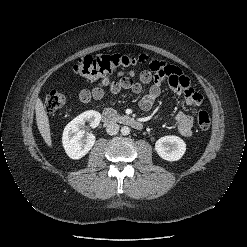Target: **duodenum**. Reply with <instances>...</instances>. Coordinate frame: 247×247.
<instances>
[{
	"label": "duodenum",
	"instance_id": "duodenum-1",
	"mask_svg": "<svg viewBox=\"0 0 247 247\" xmlns=\"http://www.w3.org/2000/svg\"><path fill=\"white\" fill-rule=\"evenodd\" d=\"M102 121L106 124L121 123L130 126L136 130L143 129V123L139 120L130 116L119 115L112 109H105L102 112Z\"/></svg>",
	"mask_w": 247,
	"mask_h": 247
}]
</instances>
